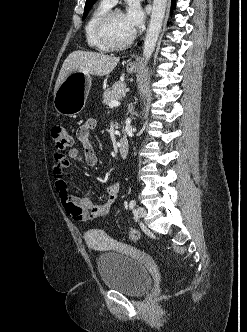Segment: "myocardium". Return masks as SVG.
I'll return each instance as SVG.
<instances>
[{
  "label": "myocardium",
  "mask_w": 247,
  "mask_h": 332,
  "mask_svg": "<svg viewBox=\"0 0 247 332\" xmlns=\"http://www.w3.org/2000/svg\"><path fill=\"white\" fill-rule=\"evenodd\" d=\"M116 13H122V11L118 8H110L106 13L101 16L95 26V34L97 39L109 50H121L128 47L133 42L136 35L133 31V33L125 41L120 43H115L110 39L108 35V27L112 17Z\"/></svg>",
  "instance_id": "f54148a6"
}]
</instances>
